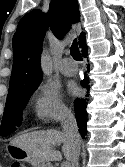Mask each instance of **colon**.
<instances>
[{
	"instance_id": "1",
	"label": "colon",
	"mask_w": 125,
	"mask_h": 167,
	"mask_svg": "<svg viewBox=\"0 0 125 167\" xmlns=\"http://www.w3.org/2000/svg\"><path fill=\"white\" fill-rule=\"evenodd\" d=\"M16 167H27V165L21 164V165H18V166H16Z\"/></svg>"
}]
</instances>
